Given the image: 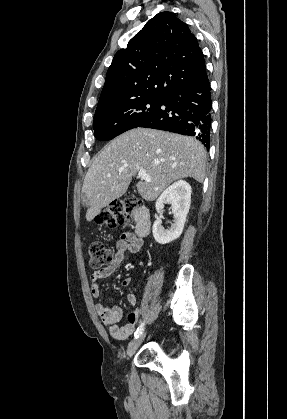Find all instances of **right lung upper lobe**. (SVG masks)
Instances as JSON below:
<instances>
[{
	"mask_svg": "<svg viewBox=\"0 0 287 419\" xmlns=\"http://www.w3.org/2000/svg\"><path fill=\"white\" fill-rule=\"evenodd\" d=\"M207 75L204 56L187 24L171 12L150 19L110 65L96 112L142 97H164Z\"/></svg>",
	"mask_w": 287,
	"mask_h": 419,
	"instance_id": "1",
	"label": "right lung upper lobe"
}]
</instances>
